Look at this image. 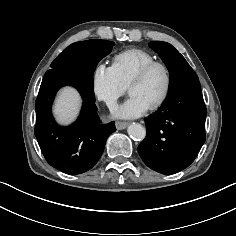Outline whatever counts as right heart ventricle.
Returning a JSON list of instances; mask_svg holds the SVG:
<instances>
[{
    "mask_svg": "<svg viewBox=\"0 0 236 236\" xmlns=\"http://www.w3.org/2000/svg\"><path fill=\"white\" fill-rule=\"evenodd\" d=\"M153 61H155V57L150 52L131 48L117 53L113 57L112 66L121 82L127 87L138 71Z\"/></svg>",
    "mask_w": 236,
    "mask_h": 236,
    "instance_id": "e07e8e85",
    "label": "right heart ventricle"
}]
</instances>
